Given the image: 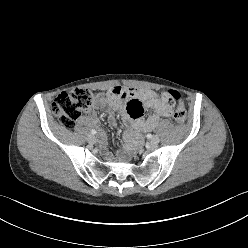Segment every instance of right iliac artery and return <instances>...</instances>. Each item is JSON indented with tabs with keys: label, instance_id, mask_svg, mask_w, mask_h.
<instances>
[{
	"label": "right iliac artery",
	"instance_id": "1",
	"mask_svg": "<svg viewBox=\"0 0 248 248\" xmlns=\"http://www.w3.org/2000/svg\"><path fill=\"white\" fill-rule=\"evenodd\" d=\"M96 133H97L96 130L94 129L91 130V134L95 135Z\"/></svg>",
	"mask_w": 248,
	"mask_h": 248
}]
</instances>
